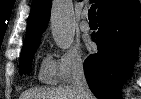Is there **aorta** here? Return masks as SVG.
<instances>
[{
    "label": "aorta",
    "mask_w": 141,
    "mask_h": 99,
    "mask_svg": "<svg viewBox=\"0 0 141 99\" xmlns=\"http://www.w3.org/2000/svg\"><path fill=\"white\" fill-rule=\"evenodd\" d=\"M51 30L55 43L68 49L73 43L75 25L71 0H54L51 9Z\"/></svg>",
    "instance_id": "1"
}]
</instances>
